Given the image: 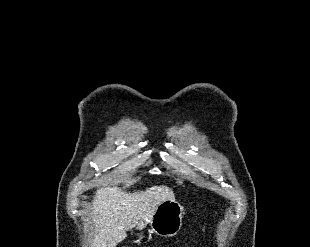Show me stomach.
<instances>
[{"mask_svg":"<svg viewBox=\"0 0 310 247\" xmlns=\"http://www.w3.org/2000/svg\"><path fill=\"white\" fill-rule=\"evenodd\" d=\"M184 216L183 206L176 201L166 200L159 204L150 219L151 230L161 237L175 236L182 226ZM139 240L143 239L142 233H137Z\"/></svg>","mask_w":310,"mask_h":247,"instance_id":"1","label":"stomach"}]
</instances>
